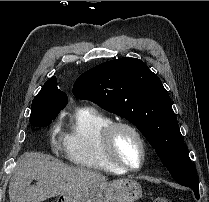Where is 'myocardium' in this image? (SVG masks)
I'll list each match as a JSON object with an SVG mask.
<instances>
[{
    "label": "myocardium",
    "mask_w": 209,
    "mask_h": 202,
    "mask_svg": "<svg viewBox=\"0 0 209 202\" xmlns=\"http://www.w3.org/2000/svg\"><path fill=\"white\" fill-rule=\"evenodd\" d=\"M127 130L131 132L138 140L141 147V162L138 166H132L118 157H116L113 150V137L118 130ZM101 149L106 159L115 167L128 172H135L140 170L147 158L148 148L146 140L141 131L133 124L126 121H113L104 131L101 139Z\"/></svg>",
    "instance_id": "myocardium-1"
}]
</instances>
